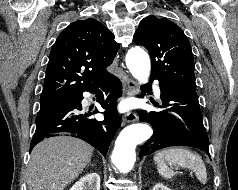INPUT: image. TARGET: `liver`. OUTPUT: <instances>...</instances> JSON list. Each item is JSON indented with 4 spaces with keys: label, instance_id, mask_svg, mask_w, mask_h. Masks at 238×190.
Wrapping results in <instances>:
<instances>
[{
    "label": "liver",
    "instance_id": "6515ba94",
    "mask_svg": "<svg viewBox=\"0 0 238 190\" xmlns=\"http://www.w3.org/2000/svg\"><path fill=\"white\" fill-rule=\"evenodd\" d=\"M93 147L71 136L43 140L31 152L27 185L29 190H63L89 163Z\"/></svg>",
    "mask_w": 238,
    "mask_h": 190
}]
</instances>
